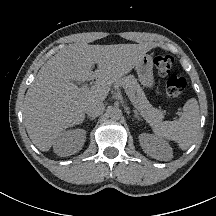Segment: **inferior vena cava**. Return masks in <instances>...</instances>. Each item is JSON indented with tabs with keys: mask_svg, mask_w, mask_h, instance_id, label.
<instances>
[{
	"mask_svg": "<svg viewBox=\"0 0 216 216\" xmlns=\"http://www.w3.org/2000/svg\"><path fill=\"white\" fill-rule=\"evenodd\" d=\"M105 106L100 101H92L87 104L85 112L90 117H97L103 113Z\"/></svg>",
	"mask_w": 216,
	"mask_h": 216,
	"instance_id": "1",
	"label": "inferior vena cava"
}]
</instances>
